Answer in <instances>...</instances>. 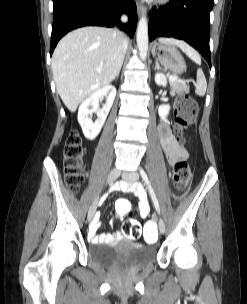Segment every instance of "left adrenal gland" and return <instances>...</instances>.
I'll use <instances>...</instances> for the list:
<instances>
[{"label":"left adrenal gland","instance_id":"obj_1","mask_svg":"<svg viewBox=\"0 0 247 304\" xmlns=\"http://www.w3.org/2000/svg\"><path fill=\"white\" fill-rule=\"evenodd\" d=\"M155 69H160V65L157 61L155 62Z\"/></svg>","mask_w":247,"mask_h":304}]
</instances>
